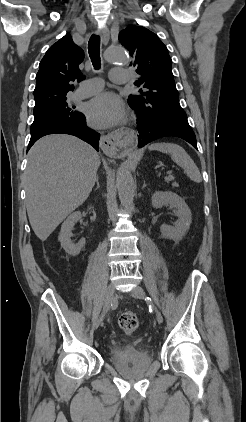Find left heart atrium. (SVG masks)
Masks as SVG:
<instances>
[{"instance_id":"obj_1","label":"left heart atrium","mask_w":246,"mask_h":422,"mask_svg":"<svg viewBox=\"0 0 246 422\" xmlns=\"http://www.w3.org/2000/svg\"><path fill=\"white\" fill-rule=\"evenodd\" d=\"M90 124L97 128H108L120 124L125 117L122 101L111 92L94 97L86 107Z\"/></svg>"}]
</instances>
